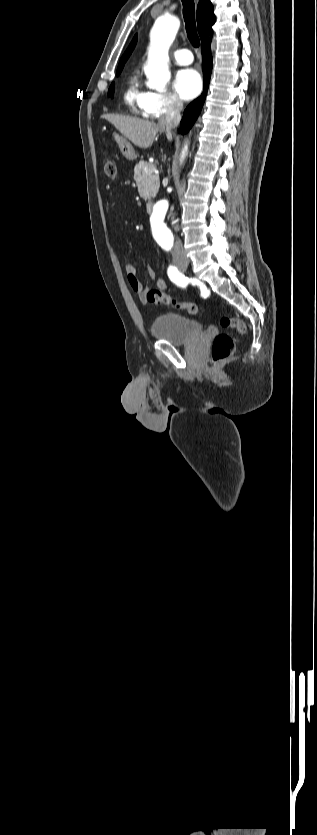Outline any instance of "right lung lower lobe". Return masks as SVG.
Listing matches in <instances>:
<instances>
[{"instance_id": "right-lung-lower-lobe-1", "label": "right lung lower lobe", "mask_w": 317, "mask_h": 835, "mask_svg": "<svg viewBox=\"0 0 317 835\" xmlns=\"http://www.w3.org/2000/svg\"><path fill=\"white\" fill-rule=\"evenodd\" d=\"M212 35L202 41L201 44V51H202V59H203V76H204V91L197 99H195L184 111L183 119L180 123V128L182 133H186L192 127L194 122L196 121L197 117L200 114L202 106L204 104L207 90L209 86L210 76L212 72V55H211V45Z\"/></svg>"}]
</instances>
